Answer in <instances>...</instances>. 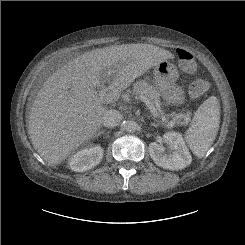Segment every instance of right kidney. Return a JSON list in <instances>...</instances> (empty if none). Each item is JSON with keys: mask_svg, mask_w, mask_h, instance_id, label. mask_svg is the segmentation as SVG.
Returning a JSON list of instances; mask_svg holds the SVG:
<instances>
[{"mask_svg": "<svg viewBox=\"0 0 245 245\" xmlns=\"http://www.w3.org/2000/svg\"><path fill=\"white\" fill-rule=\"evenodd\" d=\"M103 157V149L99 145L78 151L69 158V166L73 171L83 172L90 170L100 163Z\"/></svg>", "mask_w": 245, "mask_h": 245, "instance_id": "obj_1", "label": "right kidney"}]
</instances>
